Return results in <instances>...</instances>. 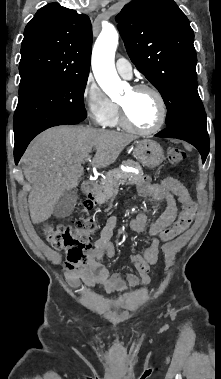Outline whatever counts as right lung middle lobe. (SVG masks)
Listing matches in <instances>:
<instances>
[{"instance_id":"right-lung-middle-lobe-1","label":"right lung middle lobe","mask_w":221,"mask_h":379,"mask_svg":"<svg viewBox=\"0 0 221 379\" xmlns=\"http://www.w3.org/2000/svg\"><path fill=\"white\" fill-rule=\"evenodd\" d=\"M87 77L59 78L19 88L14 114L15 143L32 140L66 118L84 120Z\"/></svg>"}]
</instances>
